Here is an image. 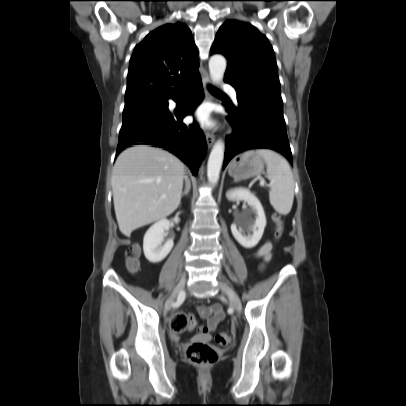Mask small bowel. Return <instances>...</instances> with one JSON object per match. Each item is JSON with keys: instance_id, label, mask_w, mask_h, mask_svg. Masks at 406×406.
Segmentation results:
<instances>
[{"instance_id": "1", "label": "small bowel", "mask_w": 406, "mask_h": 406, "mask_svg": "<svg viewBox=\"0 0 406 406\" xmlns=\"http://www.w3.org/2000/svg\"><path fill=\"white\" fill-rule=\"evenodd\" d=\"M271 249L272 245L267 241L255 252V256L262 260L261 268L270 260ZM198 312L207 321V327L202 329L205 335L207 331H215L218 323L224 318V312L219 303H214L210 306H199ZM173 337L178 338L177 333L173 332Z\"/></svg>"}]
</instances>
